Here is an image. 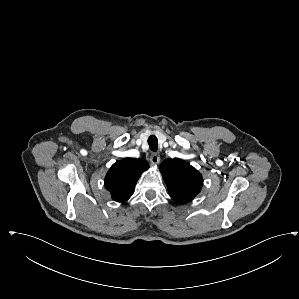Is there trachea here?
<instances>
[{"instance_id": "trachea-1", "label": "trachea", "mask_w": 299, "mask_h": 299, "mask_svg": "<svg viewBox=\"0 0 299 299\" xmlns=\"http://www.w3.org/2000/svg\"><path fill=\"white\" fill-rule=\"evenodd\" d=\"M148 144H149V148L152 150V151H157L158 149V139L155 135H151L149 138H148Z\"/></svg>"}]
</instances>
